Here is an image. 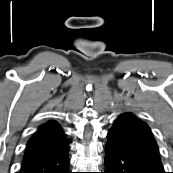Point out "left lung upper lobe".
I'll return each mask as SVG.
<instances>
[{
	"label": "left lung upper lobe",
	"instance_id": "left-lung-upper-lobe-1",
	"mask_svg": "<svg viewBox=\"0 0 173 173\" xmlns=\"http://www.w3.org/2000/svg\"><path fill=\"white\" fill-rule=\"evenodd\" d=\"M107 138L110 144L160 159L159 148L150 128L129 112L116 118Z\"/></svg>",
	"mask_w": 173,
	"mask_h": 173
}]
</instances>
